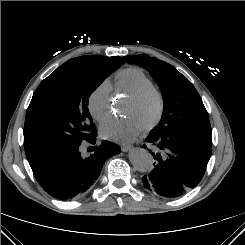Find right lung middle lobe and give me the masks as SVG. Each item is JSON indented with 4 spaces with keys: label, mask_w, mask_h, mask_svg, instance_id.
Masks as SVG:
<instances>
[{
    "label": "right lung middle lobe",
    "mask_w": 245,
    "mask_h": 245,
    "mask_svg": "<svg viewBox=\"0 0 245 245\" xmlns=\"http://www.w3.org/2000/svg\"><path fill=\"white\" fill-rule=\"evenodd\" d=\"M120 64L110 57L73 58L40 83L24 127V138L34 143L35 155L45 159L96 135L88 98Z\"/></svg>",
    "instance_id": "obj_1"
}]
</instances>
